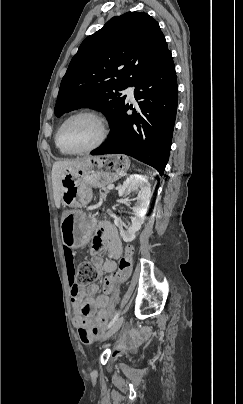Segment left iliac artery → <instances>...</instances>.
<instances>
[{
  "instance_id": "1",
  "label": "left iliac artery",
  "mask_w": 243,
  "mask_h": 404,
  "mask_svg": "<svg viewBox=\"0 0 243 404\" xmlns=\"http://www.w3.org/2000/svg\"><path fill=\"white\" fill-rule=\"evenodd\" d=\"M119 315H120V312L118 311V312L114 315V317H113V319L110 321V323L108 324L107 329L111 328V327L114 325V323L118 320Z\"/></svg>"
}]
</instances>
